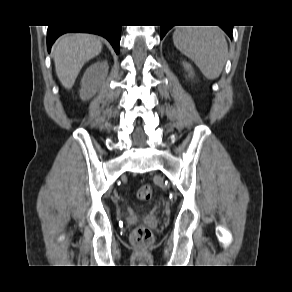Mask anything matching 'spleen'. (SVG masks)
<instances>
[{
  "label": "spleen",
  "instance_id": "1",
  "mask_svg": "<svg viewBox=\"0 0 292 292\" xmlns=\"http://www.w3.org/2000/svg\"><path fill=\"white\" fill-rule=\"evenodd\" d=\"M173 42L207 79L214 80L220 76L228 54V44L220 28L177 27Z\"/></svg>",
  "mask_w": 292,
  "mask_h": 292
}]
</instances>
